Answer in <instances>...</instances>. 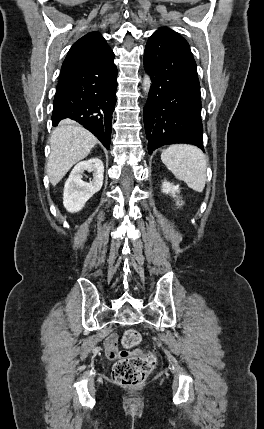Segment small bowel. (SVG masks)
Listing matches in <instances>:
<instances>
[{"label": "small bowel", "instance_id": "small-bowel-1", "mask_svg": "<svg viewBox=\"0 0 264 429\" xmlns=\"http://www.w3.org/2000/svg\"><path fill=\"white\" fill-rule=\"evenodd\" d=\"M118 337L116 334H110L105 340L106 354L110 359H115L123 354L117 348Z\"/></svg>", "mask_w": 264, "mask_h": 429}]
</instances>
